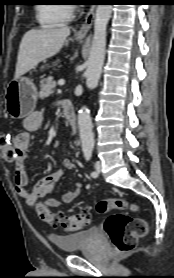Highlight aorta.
<instances>
[{
	"instance_id": "obj_1",
	"label": "aorta",
	"mask_w": 174,
	"mask_h": 278,
	"mask_svg": "<svg viewBox=\"0 0 174 278\" xmlns=\"http://www.w3.org/2000/svg\"><path fill=\"white\" fill-rule=\"evenodd\" d=\"M112 5H98L95 13L94 34L92 45L85 72L86 85L89 89L97 87L105 58V46L107 35V24L111 17ZM78 126L80 132L82 150L92 151L94 147V136L90 110L83 106L78 114Z\"/></svg>"
}]
</instances>
